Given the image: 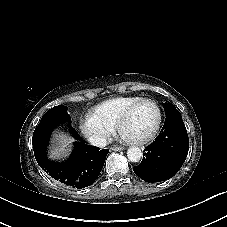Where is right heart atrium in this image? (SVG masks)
<instances>
[{
    "instance_id": "1",
    "label": "right heart atrium",
    "mask_w": 227,
    "mask_h": 227,
    "mask_svg": "<svg viewBox=\"0 0 227 227\" xmlns=\"http://www.w3.org/2000/svg\"><path fill=\"white\" fill-rule=\"evenodd\" d=\"M82 133L85 139L92 145L102 144L111 135V131L109 129L97 126L94 123H89L83 126Z\"/></svg>"
}]
</instances>
